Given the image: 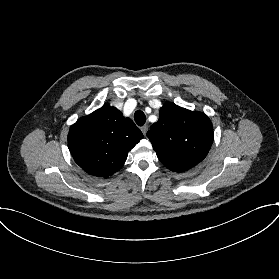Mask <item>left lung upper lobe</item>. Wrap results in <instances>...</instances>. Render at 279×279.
Wrapping results in <instances>:
<instances>
[{
    "label": "left lung upper lobe",
    "instance_id": "left-lung-upper-lobe-1",
    "mask_svg": "<svg viewBox=\"0 0 279 279\" xmlns=\"http://www.w3.org/2000/svg\"><path fill=\"white\" fill-rule=\"evenodd\" d=\"M159 160L171 171L183 172L208 154L214 140L210 119L168 102L158 122L147 132Z\"/></svg>",
    "mask_w": 279,
    "mask_h": 279
}]
</instances>
